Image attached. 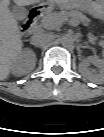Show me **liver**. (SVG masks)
<instances>
[{"label":"liver","mask_w":104,"mask_h":137,"mask_svg":"<svg viewBox=\"0 0 104 137\" xmlns=\"http://www.w3.org/2000/svg\"><path fill=\"white\" fill-rule=\"evenodd\" d=\"M1 0L0 11V78L4 80L8 77L13 62L20 55L23 46L18 22L8 8V1ZM18 6L33 5L40 0H13ZM52 4L61 7L78 2L79 0H48Z\"/></svg>","instance_id":"1"}]
</instances>
